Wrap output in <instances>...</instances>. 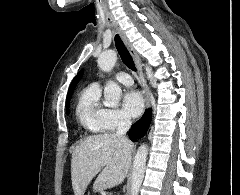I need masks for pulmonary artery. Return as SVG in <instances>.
<instances>
[{
  "mask_svg": "<svg viewBox=\"0 0 240 195\" xmlns=\"http://www.w3.org/2000/svg\"><path fill=\"white\" fill-rule=\"evenodd\" d=\"M117 77H118V78H117L118 81L121 82V83H123V84L129 85V84L132 83V79L130 78V76L124 74L123 71H120V72H119V75H118Z\"/></svg>",
  "mask_w": 240,
  "mask_h": 195,
  "instance_id": "1",
  "label": "pulmonary artery"
}]
</instances>
